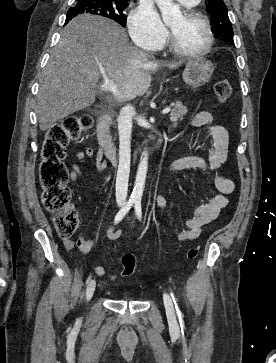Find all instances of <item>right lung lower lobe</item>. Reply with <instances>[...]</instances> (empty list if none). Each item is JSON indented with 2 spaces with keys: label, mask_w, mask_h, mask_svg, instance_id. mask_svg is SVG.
Here are the masks:
<instances>
[{
  "label": "right lung lower lobe",
  "mask_w": 276,
  "mask_h": 363,
  "mask_svg": "<svg viewBox=\"0 0 276 363\" xmlns=\"http://www.w3.org/2000/svg\"><path fill=\"white\" fill-rule=\"evenodd\" d=\"M73 17H66L65 24H67Z\"/></svg>",
  "instance_id": "obj_1"
}]
</instances>
